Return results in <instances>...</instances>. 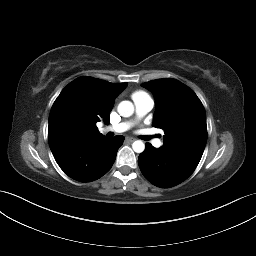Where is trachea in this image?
Instances as JSON below:
<instances>
[{
    "label": "trachea",
    "mask_w": 256,
    "mask_h": 256,
    "mask_svg": "<svg viewBox=\"0 0 256 256\" xmlns=\"http://www.w3.org/2000/svg\"><path fill=\"white\" fill-rule=\"evenodd\" d=\"M151 137L150 136H142L143 140H149Z\"/></svg>",
    "instance_id": "obj_1"
}]
</instances>
